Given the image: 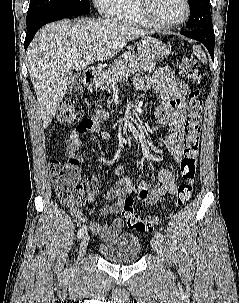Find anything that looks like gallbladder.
Instances as JSON below:
<instances>
[{"mask_svg":"<svg viewBox=\"0 0 239 303\" xmlns=\"http://www.w3.org/2000/svg\"><path fill=\"white\" fill-rule=\"evenodd\" d=\"M82 76L80 73L71 74L68 78L67 93L72 94L81 88Z\"/></svg>","mask_w":239,"mask_h":303,"instance_id":"bac80fb5","label":"gallbladder"}]
</instances>
